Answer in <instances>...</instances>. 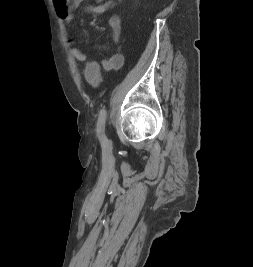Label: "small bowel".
<instances>
[{"mask_svg": "<svg viewBox=\"0 0 253 267\" xmlns=\"http://www.w3.org/2000/svg\"><path fill=\"white\" fill-rule=\"evenodd\" d=\"M85 0H53L54 7L58 16L65 22L68 29L71 27L75 10ZM98 5H86L84 11L91 14H102L115 6V0L103 1L95 0ZM109 26L112 31L113 40L117 43L120 39L121 34V19L118 15H112L109 18ZM67 41L70 44L72 55L78 61H85L86 56L81 50L78 43L73 39L72 32L69 30L67 33ZM109 64L114 68H119L123 64V57L120 54L114 55L110 60Z\"/></svg>", "mask_w": 253, "mask_h": 267, "instance_id": "small-bowel-1", "label": "small bowel"}]
</instances>
